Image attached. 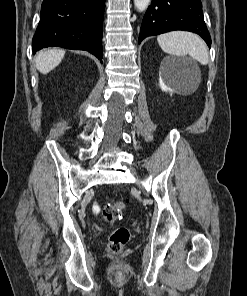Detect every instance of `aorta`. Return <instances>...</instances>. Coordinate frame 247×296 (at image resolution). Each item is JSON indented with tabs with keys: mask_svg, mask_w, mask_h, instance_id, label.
Masks as SVG:
<instances>
[{
	"mask_svg": "<svg viewBox=\"0 0 247 296\" xmlns=\"http://www.w3.org/2000/svg\"><path fill=\"white\" fill-rule=\"evenodd\" d=\"M150 2L151 0H134V5L138 11L142 12L147 9Z\"/></svg>",
	"mask_w": 247,
	"mask_h": 296,
	"instance_id": "1",
	"label": "aorta"
}]
</instances>
